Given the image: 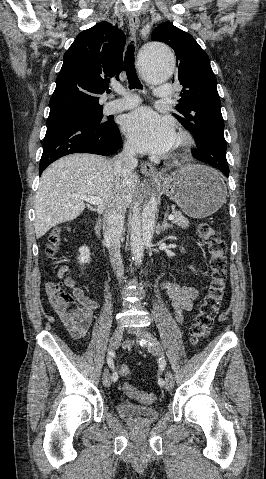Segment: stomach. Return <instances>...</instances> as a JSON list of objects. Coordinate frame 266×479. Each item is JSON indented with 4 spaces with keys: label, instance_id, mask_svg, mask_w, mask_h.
<instances>
[{
    "label": "stomach",
    "instance_id": "obj_1",
    "mask_svg": "<svg viewBox=\"0 0 266 479\" xmlns=\"http://www.w3.org/2000/svg\"><path fill=\"white\" fill-rule=\"evenodd\" d=\"M189 217L205 218L215 213L227 197L220 174L203 165L186 166L157 182Z\"/></svg>",
    "mask_w": 266,
    "mask_h": 479
}]
</instances>
